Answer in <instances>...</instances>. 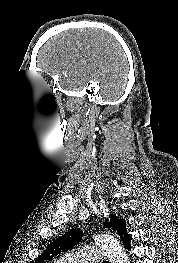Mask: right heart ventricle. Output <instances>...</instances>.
<instances>
[{
	"mask_svg": "<svg viewBox=\"0 0 178 263\" xmlns=\"http://www.w3.org/2000/svg\"><path fill=\"white\" fill-rule=\"evenodd\" d=\"M53 263H59L58 260L57 261H54Z\"/></svg>",
	"mask_w": 178,
	"mask_h": 263,
	"instance_id": "e07e8e85",
	"label": "right heart ventricle"
}]
</instances>
